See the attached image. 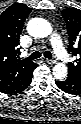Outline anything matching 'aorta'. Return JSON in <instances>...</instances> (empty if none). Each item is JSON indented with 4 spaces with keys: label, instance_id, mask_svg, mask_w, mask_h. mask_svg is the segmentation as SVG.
<instances>
[{
    "label": "aorta",
    "instance_id": "obj_1",
    "mask_svg": "<svg viewBox=\"0 0 81 124\" xmlns=\"http://www.w3.org/2000/svg\"><path fill=\"white\" fill-rule=\"evenodd\" d=\"M28 33L36 38H44L52 33L51 24L43 18H33L27 24ZM68 70L65 64L57 63L53 67V75L58 80H63L67 77Z\"/></svg>",
    "mask_w": 81,
    "mask_h": 124
}]
</instances>
